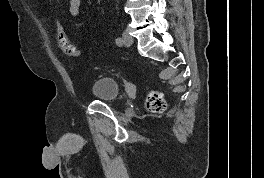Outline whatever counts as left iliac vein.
<instances>
[{
	"label": "left iliac vein",
	"mask_w": 264,
	"mask_h": 178,
	"mask_svg": "<svg viewBox=\"0 0 264 178\" xmlns=\"http://www.w3.org/2000/svg\"><path fill=\"white\" fill-rule=\"evenodd\" d=\"M122 38L125 46L129 47L133 44V38L127 32L123 33Z\"/></svg>",
	"instance_id": "1"
}]
</instances>
